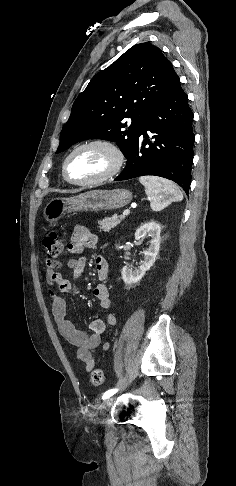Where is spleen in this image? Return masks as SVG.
Here are the masks:
<instances>
[{"label": "spleen", "instance_id": "3e777b00", "mask_svg": "<svg viewBox=\"0 0 236 486\" xmlns=\"http://www.w3.org/2000/svg\"><path fill=\"white\" fill-rule=\"evenodd\" d=\"M139 181L145 187V193L150 199V207L153 211H160L171 202L183 200L180 189L167 179L141 176Z\"/></svg>", "mask_w": 236, "mask_h": 486}]
</instances>
